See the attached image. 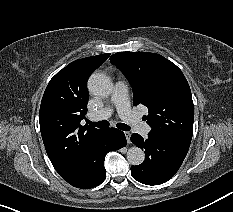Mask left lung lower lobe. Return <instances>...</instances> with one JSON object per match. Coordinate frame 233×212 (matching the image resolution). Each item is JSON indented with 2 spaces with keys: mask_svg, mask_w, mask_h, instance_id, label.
<instances>
[{
  "mask_svg": "<svg viewBox=\"0 0 233 212\" xmlns=\"http://www.w3.org/2000/svg\"><path fill=\"white\" fill-rule=\"evenodd\" d=\"M131 141L145 150V160L131 167V175L146 185H159L175 175L189 149L188 144L148 135L146 140L137 133L131 135Z\"/></svg>",
  "mask_w": 233,
  "mask_h": 212,
  "instance_id": "obj_1",
  "label": "left lung lower lobe"
}]
</instances>
